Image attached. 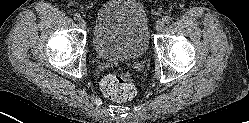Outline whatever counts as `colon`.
<instances>
[{"instance_id":"obj_1","label":"colon","mask_w":249,"mask_h":123,"mask_svg":"<svg viewBox=\"0 0 249 123\" xmlns=\"http://www.w3.org/2000/svg\"><path fill=\"white\" fill-rule=\"evenodd\" d=\"M100 89L106 98L118 102L131 100L136 94V88L128 73L107 75L102 79Z\"/></svg>"}]
</instances>
